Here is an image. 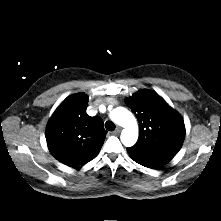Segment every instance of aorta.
Masks as SVG:
<instances>
[{
  "label": "aorta",
  "mask_w": 221,
  "mask_h": 221,
  "mask_svg": "<svg viewBox=\"0 0 221 221\" xmlns=\"http://www.w3.org/2000/svg\"><path fill=\"white\" fill-rule=\"evenodd\" d=\"M110 118L124 128L120 136L123 145L133 146L138 139V125L134 115L124 107H117L110 112Z\"/></svg>",
  "instance_id": "obj_1"
}]
</instances>
